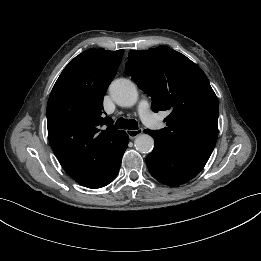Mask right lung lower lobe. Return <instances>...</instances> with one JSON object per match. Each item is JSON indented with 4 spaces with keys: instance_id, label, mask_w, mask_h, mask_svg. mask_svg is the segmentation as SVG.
<instances>
[{
    "instance_id": "obj_1",
    "label": "right lung lower lobe",
    "mask_w": 261,
    "mask_h": 261,
    "mask_svg": "<svg viewBox=\"0 0 261 261\" xmlns=\"http://www.w3.org/2000/svg\"><path fill=\"white\" fill-rule=\"evenodd\" d=\"M128 142L129 138L128 135H126L122 147L119 149L118 153L115 156V159L113 160L109 168L100 177L83 186L95 189L106 186L107 184L112 182L118 174L121 165V159L127 148Z\"/></svg>"
}]
</instances>
